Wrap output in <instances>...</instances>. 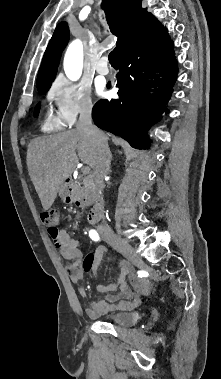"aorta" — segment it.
I'll use <instances>...</instances> for the list:
<instances>
[{"label": "aorta", "instance_id": "obj_1", "mask_svg": "<svg viewBox=\"0 0 221 379\" xmlns=\"http://www.w3.org/2000/svg\"><path fill=\"white\" fill-rule=\"evenodd\" d=\"M63 65L70 80L76 81L80 78L83 68V46L80 40H75L68 46Z\"/></svg>", "mask_w": 221, "mask_h": 379}]
</instances>
